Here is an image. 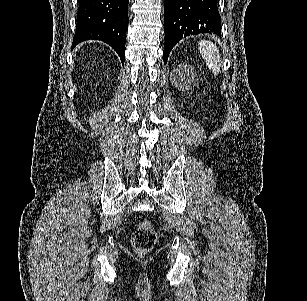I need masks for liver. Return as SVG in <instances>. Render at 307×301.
<instances>
[{
    "mask_svg": "<svg viewBox=\"0 0 307 301\" xmlns=\"http://www.w3.org/2000/svg\"><path fill=\"white\" fill-rule=\"evenodd\" d=\"M82 44H84V42H82ZM78 48H80V46H78ZM76 50H77V48H76Z\"/></svg>",
    "mask_w": 307,
    "mask_h": 301,
    "instance_id": "liver-1",
    "label": "liver"
}]
</instances>
